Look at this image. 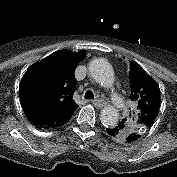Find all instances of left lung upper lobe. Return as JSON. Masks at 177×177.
<instances>
[{
    "instance_id": "left-lung-upper-lobe-1",
    "label": "left lung upper lobe",
    "mask_w": 177,
    "mask_h": 177,
    "mask_svg": "<svg viewBox=\"0 0 177 177\" xmlns=\"http://www.w3.org/2000/svg\"><path fill=\"white\" fill-rule=\"evenodd\" d=\"M130 99L135 109L129 119H123L117 127L119 135L116 140L123 141L126 135L137 133L144 135L153 125L160 106V89L157 83L134 61L130 62ZM131 116V114H130Z\"/></svg>"
}]
</instances>
